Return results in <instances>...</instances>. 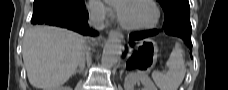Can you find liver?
<instances>
[{
	"label": "liver",
	"mask_w": 228,
	"mask_h": 90,
	"mask_svg": "<svg viewBox=\"0 0 228 90\" xmlns=\"http://www.w3.org/2000/svg\"><path fill=\"white\" fill-rule=\"evenodd\" d=\"M87 39L49 26H35L24 35L22 54L30 84L42 90L63 85L84 55Z\"/></svg>",
	"instance_id": "obj_1"
}]
</instances>
